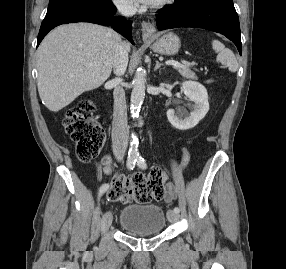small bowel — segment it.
<instances>
[{
    "mask_svg": "<svg viewBox=\"0 0 286 269\" xmlns=\"http://www.w3.org/2000/svg\"><path fill=\"white\" fill-rule=\"evenodd\" d=\"M187 143L188 142H185L179 150L180 153L182 154V159H181L179 169H178L179 174L182 173L183 170L187 167V165L189 164L190 158H191L190 152L186 146ZM103 172H104V174L110 176L112 173L111 166L109 164H105L103 167ZM166 179H167V175H166V173H164V181H166ZM176 195H177L176 187L174 186V184L168 183L166 185L165 193L163 196L164 200L167 202H172L176 199Z\"/></svg>",
    "mask_w": 286,
    "mask_h": 269,
    "instance_id": "obj_1",
    "label": "small bowel"
}]
</instances>
